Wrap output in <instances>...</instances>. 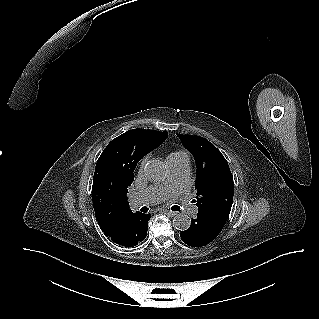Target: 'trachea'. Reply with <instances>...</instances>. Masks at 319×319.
<instances>
[{
  "label": "trachea",
  "instance_id": "3493384b",
  "mask_svg": "<svg viewBox=\"0 0 319 319\" xmlns=\"http://www.w3.org/2000/svg\"><path fill=\"white\" fill-rule=\"evenodd\" d=\"M171 209H172L173 211H179V210H180V207L174 205V206L171 207Z\"/></svg>",
  "mask_w": 319,
  "mask_h": 319
}]
</instances>
